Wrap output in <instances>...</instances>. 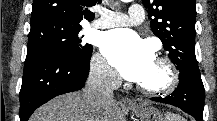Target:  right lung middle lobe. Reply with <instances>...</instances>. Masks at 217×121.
<instances>
[{
	"label": "right lung middle lobe",
	"instance_id": "obj_1",
	"mask_svg": "<svg viewBox=\"0 0 217 121\" xmlns=\"http://www.w3.org/2000/svg\"><path fill=\"white\" fill-rule=\"evenodd\" d=\"M81 28L80 24L51 19L31 23L26 59L36 56H60L78 61L85 60L91 55L93 47L90 44H82L78 36Z\"/></svg>",
	"mask_w": 217,
	"mask_h": 121
}]
</instances>
